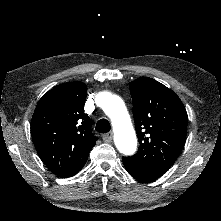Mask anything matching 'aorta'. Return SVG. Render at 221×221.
<instances>
[{
  "mask_svg": "<svg viewBox=\"0 0 221 221\" xmlns=\"http://www.w3.org/2000/svg\"><path fill=\"white\" fill-rule=\"evenodd\" d=\"M103 110L111 119L118 151L124 155H133L137 149V138L124 101L119 96L112 95L104 104Z\"/></svg>",
  "mask_w": 221,
  "mask_h": 221,
  "instance_id": "aorta-1",
  "label": "aorta"
}]
</instances>
